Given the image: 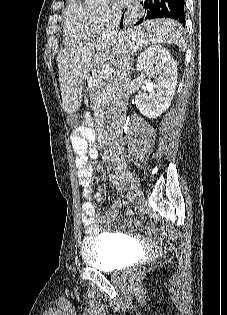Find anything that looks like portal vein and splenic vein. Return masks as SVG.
<instances>
[{"label":"portal vein and splenic vein","mask_w":227,"mask_h":315,"mask_svg":"<svg viewBox=\"0 0 227 315\" xmlns=\"http://www.w3.org/2000/svg\"><path fill=\"white\" fill-rule=\"evenodd\" d=\"M103 79H105V78H103ZM103 79H102L101 76H100L99 78L95 79V80H94L95 85H101V84H103ZM112 91H113V88H112L111 86H108V87H106V88L103 90V92H102L101 95H102L103 97H106L107 95H110V94L112 93Z\"/></svg>","instance_id":"1"}]
</instances>
